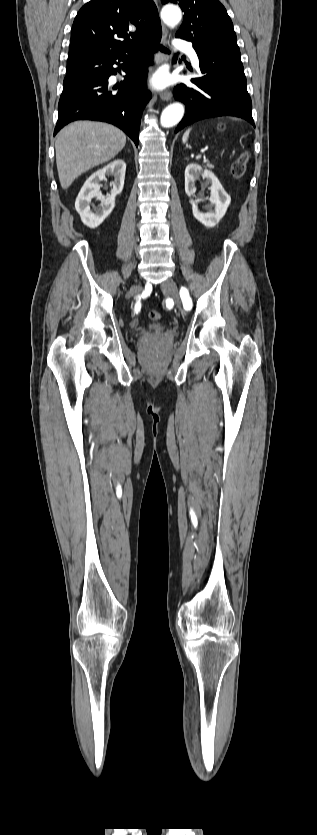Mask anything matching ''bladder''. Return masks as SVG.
I'll return each mask as SVG.
<instances>
[{
	"label": "bladder",
	"instance_id": "31cf9c89",
	"mask_svg": "<svg viewBox=\"0 0 317 835\" xmlns=\"http://www.w3.org/2000/svg\"><path fill=\"white\" fill-rule=\"evenodd\" d=\"M167 328L161 324H152L145 329V333L149 336H158L163 334Z\"/></svg>",
	"mask_w": 317,
	"mask_h": 835
}]
</instances>
